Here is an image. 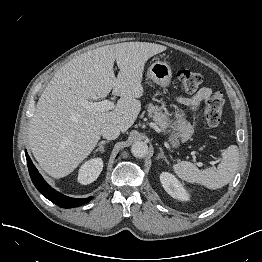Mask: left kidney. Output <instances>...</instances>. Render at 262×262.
I'll return each mask as SVG.
<instances>
[{"instance_id":"5707ae66","label":"left kidney","mask_w":262,"mask_h":262,"mask_svg":"<svg viewBox=\"0 0 262 262\" xmlns=\"http://www.w3.org/2000/svg\"><path fill=\"white\" fill-rule=\"evenodd\" d=\"M160 181L165 191L173 198L183 201L189 200L188 193L185 191L183 186L179 183L174 175L168 172H163L160 175Z\"/></svg>"}]
</instances>
